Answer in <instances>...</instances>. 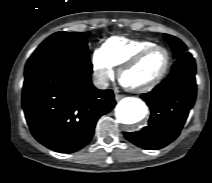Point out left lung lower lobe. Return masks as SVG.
<instances>
[{
	"instance_id": "1",
	"label": "left lung lower lobe",
	"mask_w": 212,
	"mask_h": 183,
	"mask_svg": "<svg viewBox=\"0 0 212 183\" xmlns=\"http://www.w3.org/2000/svg\"><path fill=\"white\" fill-rule=\"evenodd\" d=\"M196 65L190 53L173 64L170 75L151 92L141 96L150 107L148 126L125 132V138L147 150L165 147L179 135L196 98Z\"/></svg>"
}]
</instances>
